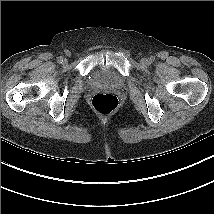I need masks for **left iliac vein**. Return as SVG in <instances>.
Wrapping results in <instances>:
<instances>
[{
  "mask_svg": "<svg viewBox=\"0 0 214 214\" xmlns=\"http://www.w3.org/2000/svg\"><path fill=\"white\" fill-rule=\"evenodd\" d=\"M141 64H143V65H148V64H149V61H148L146 58H142V59H141Z\"/></svg>",
  "mask_w": 214,
  "mask_h": 214,
  "instance_id": "obj_1",
  "label": "left iliac vein"
}]
</instances>
